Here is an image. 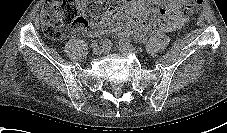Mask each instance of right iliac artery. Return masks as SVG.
Masks as SVG:
<instances>
[{"label": "right iliac artery", "instance_id": "82829eb1", "mask_svg": "<svg viewBox=\"0 0 227 133\" xmlns=\"http://www.w3.org/2000/svg\"><path fill=\"white\" fill-rule=\"evenodd\" d=\"M110 45H111L110 40H105V41L103 42V47H104V48H109Z\"/></svg>", "mask_w": 227, "mask_h": 133}]
</instances>
